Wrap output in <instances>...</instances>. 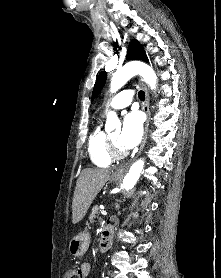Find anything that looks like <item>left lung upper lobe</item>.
<instances>
[{"label":"left lung upper lobe","instance_id":"1","mask_svg":"<svg viewBox=\"0 0 221 278\" xmlns=\"http://www.w3.org/2000/svg\"><path fill=\"white\" fill-rule=\"evenodd\" d=\"M127 59H141L144 61H148L147 55L145 54L142 45H140L137 40H132L130 42V46L128 48L127 53ZM106 79L107 73L105 71H102L96 80L91 101L99 94V92L105 84Z\"/></svg>","mask_w":221,"mask_h":278}]
</instances>
